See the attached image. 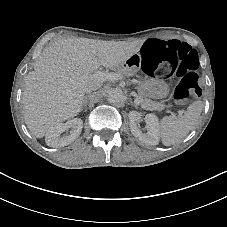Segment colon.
Listing matches in <instances>:
<instances>
[{"mask_svg": "<svg viewBox=\"0 0 227 227\" xmlns=\"http://www.w3.org/2000/svg\"><path fill=\"white\" fill-rule=\"evenodd\" d=\"M144 71L160 79L178 78L173 94L176 105H186L202 94L198 85V55L187 44L176 40H147L141 49Z\"/></svg>", "mask_w": 227, "mask_h": 227, "instance_id": "1", "label": "colon"}]
</instances>
